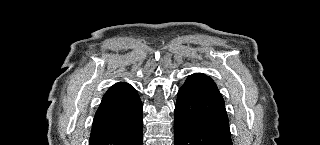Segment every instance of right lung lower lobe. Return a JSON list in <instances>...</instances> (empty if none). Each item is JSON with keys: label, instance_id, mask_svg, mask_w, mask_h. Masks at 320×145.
<instances>
[{"label": "right lung lower lobe", "instance_id": "obj_1", "mask_svg": "<svg viewBox=\"0 0 320 145\" xmlns=\"http://www.w3.org/2000/svg\"><path fill=\"white\" fill-rule=\"evenodd\" d=\"M142 102L129 84H114L95 114L89 145H142Z\"/></svg>", "mask_w": 320, "mask_h": 145}]
</instances>
